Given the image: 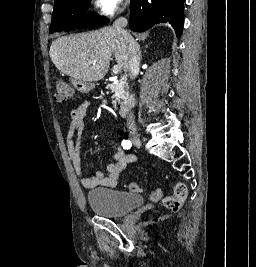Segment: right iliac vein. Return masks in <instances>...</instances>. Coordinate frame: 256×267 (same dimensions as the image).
Here are the masks:
<instances>
[{
  "mask_svg": "<svg viewBox=\"0 0 256 267\" xmlns=\"http://www.w3.org/2000/svg\"><path fill=\"white\" fill-rule=\"evenodd\" d=\"M131 141L137 146L140 147L142 145V140L136 131H133L131 134Z\"/></svg>",
  "mask_w": 256,
  "mask_h": 267,
  "instance_id": "right-iliac-vein-1",
  "label": "right iliac vein"
}]
</instances>
